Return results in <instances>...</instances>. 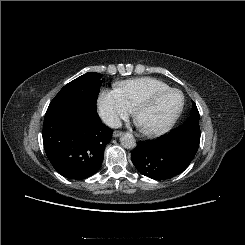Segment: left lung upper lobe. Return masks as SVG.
Instances as JSON below:
<instances>
[{"instance_id":"1","label":"left lung upper lobe","mask_w":245,"mask_h":245,"mask_svg":"<svg viewBox=\"0 0 245 245\" xmlns=\"http://www.w3.org/2000/svg\"><path fill=\"white\" fill-rule=\"evenodd\" d=\"M175 132H188L200 136L199 127V112L196 104L192 101V110L188 120L180 125L179 127L173 129Z\"/></svg>"}]
</instances>
